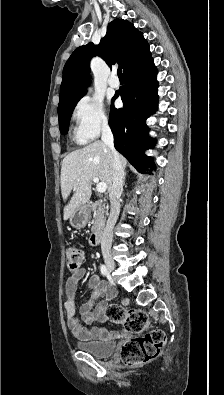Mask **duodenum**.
Listing matches in <instances>:
<instances>
[{
    "label": "duodenum",
    "mask_w": 224,
    "mask_h": 395,
    "mask_svg": "<svg viewBox=\"0 0 224 395\" xmlns=\"http://www.w3.org/2000/svg\"><path fill=\"white\" fill-rule=\"evenodd\" d=\"M88 204H91V202H88ZM101 237H102V229L96 228L90 236L91 246L95 247V246L99 245V243L101 241Z\"/></svg>",
    "instance_id": "duodenum-1"
}]
</instances>
